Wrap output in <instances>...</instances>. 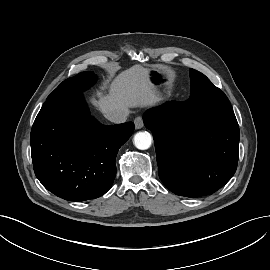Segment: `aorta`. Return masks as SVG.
I'll return each mask as SVG.
<instances>
[{
	"label": "aorta",
	"instance_id": "aorta-1",
	"mask_svg": "<svg viewBox=\"0 0 270 270\" xmlns=\"http://www.w3.org/2000/svg\"><path fill=\"white\" fill-rule=\"evenodd\" d=\"M152 137L148 132H138L134 135V145L140 150H146L151 146Z\"/></svg>",
	"mask_w": 270,
	"mask_h": 270
}]
</instances>
